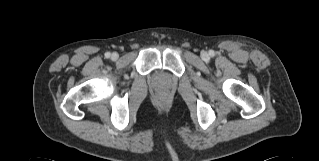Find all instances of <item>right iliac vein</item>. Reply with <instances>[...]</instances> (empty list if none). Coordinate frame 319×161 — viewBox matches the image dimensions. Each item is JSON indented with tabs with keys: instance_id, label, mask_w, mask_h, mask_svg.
<instances>
[{
	"instance_id": "obj_1",
	"label": "right iliac vein",
	"mask_w": 319,
	"mask_h": 161,
	"mask_svg": "<svg viewBox=\"0 0 319 161\" xmlns=\"http://www.w3.org/2000/svg\"><path fill=\"white\" fill-rule=\"evenodd\" d=\"M118 58V54L117 53H113L112 54V60H116Z\"/></svg>"
}]
</instances>
